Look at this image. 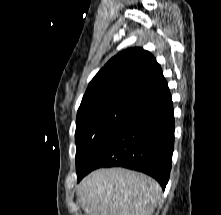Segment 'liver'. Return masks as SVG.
I'll use <instances>...</instances> for the list:
<instances>
[{"label":"liver","instance_id":"obj_1","mask_svg":"<svg viewBox=\"0 0 221 215\" xmlns=\"http://www.w3.org/2000/svg\"><path fill=\"white\" fill-rule=\"evenodd\" d=\"M76 190L86 215H152L162 197L156 180L124 168L93 171Z\"/></svg>","mask_w":221,"mask_h":215}]
</instances>
